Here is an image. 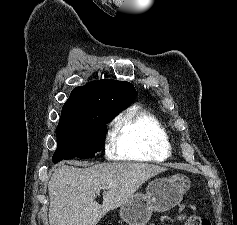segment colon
Returning <instances> with one entry per match:
<instances>
[{"instance_id": "colon-1", "label": "colon", "mask_w": 237, "mask_h": 225, "mask_svg": "<svg viewBox=\"0 0 237 225\" xmlns=\"http://www.w3.org/2000/svg\"><path fill=\"white\" fill-rule=\"evenodd\" d=\"M178 219L181 220L184 225H211V222L208 219L194 214L180 215Z\"/></svg>"}]
</instances>
